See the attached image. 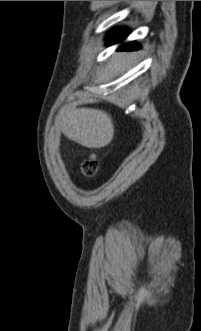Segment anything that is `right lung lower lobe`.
Masks as SVG:
<instances>
[{"instance_id": "right-lung-lower-lobe-1", "label": "right lung lower lobe", "mask_w": 201, "mask_h": 331, "mask_svg": "<svg viewBox=\"0 0 201 331\" xmlns=\"http://www.w3.org/2000/svg\"><path fill=\"white\" fill-rule=\"evenodd\" d=\"M127 33H128L127 29L117 28V29L112 30L109 33L106 40H107L108 44L112 45V44L122 41L126 37ZM138 49H139V46L134 42H129V43L123 44L119 48V50H127V51L138 50Z\"/></svg>"}]
</instances>
